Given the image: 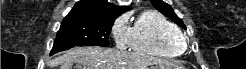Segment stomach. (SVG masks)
<instances>
[{
    "label": "stomach",
    "instance_id": "0dacf381",
    "mask_svg": "<svg viewBox=\"0 0 246 69\" xmlns=\"http://www.w3.org/2000/svg\"><path fill=\"white\" fill-rule=\"evenodd\" d=\"M150 69H184V68L181 66L165 63V64H158V65L151 66Z\"/></svg>",
    "mask_w": 246,
    "mask_h": 69
}]
</instances>
